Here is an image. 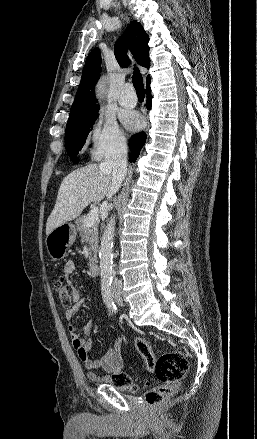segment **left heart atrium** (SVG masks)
<instances>
[{
    "label": "left heart atrium",
    "mask_w": 257,
    "mask_h": 439,
    "mask_svg": "<svg viewBox=\"0 0 257 439\" xmlns=\"http://www.w3.org/2000/svg\"><path fill=\"white\" fill-rule=\"evenodd\" d=\"M124 122L128 127L134 129L140 125L141 120H140V117L138 115L129 114V115H126L124 117Z\"/></svg>",
    "instance_id": "obj_1"
}]
</instances>
